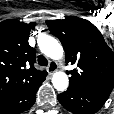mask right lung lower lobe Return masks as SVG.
<instances>
[{
    "label": "right lung lower lobe",
    "mask_w": 114,
    "mask_h": 114,
    "mask_svg": "<svg viewBox=\"0 0 114 114\" xmlns=\"http://www.w3.org/2000/svg\"><path fill=\"white\" fill-rule=\"evenodd\" d=\"M46 77V76H45ZM45 77L18 91L12 92L0 99V114H19L29 108L36 101V92Z\"/></svg>",
    "instance_id": "1"
}]
</instances>
